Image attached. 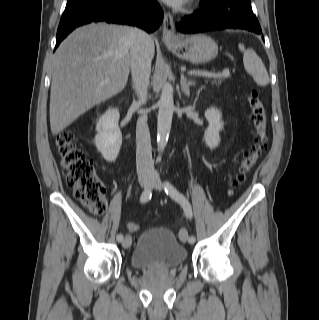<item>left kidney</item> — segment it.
Instances as JSON below:
<instances>
[{"instance_id": "1", "label": "left kidney", "mask_w": 319, "mask_h": 320, "mask_svg": "<svg viewBox=\"0 0 319 320\" xmlns=\"http://www.w3.org/2000/svg\"><path fill=\"white\" fill-rule=\"evenodd\" d=\"M222 113L220 110L211 107L205 111V118L209 125L204 133L205 144L211 148H216L220 143L219 132L223 129V122L221 120Z\"/></svg>"}]
</instances>
